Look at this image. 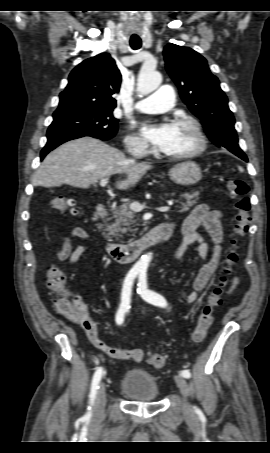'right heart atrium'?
<instances>
[{
    "instance_id": "obj_1",
    "label": "right heart atrium",
    "mask_w": 270,
    "mask_h": 453,
    "mask_svg": "<svg viewBox=\"0 0 270 453\" xmlns=\"http://www.w3.org/2000/svg\"><path fill=\"white\" fill-rule=\"evenodd\" d=\"M125 147L128 151L136 154H145L149 150L147 143L135 134L126 136Z\"/></svg>"
}]
</instances>
